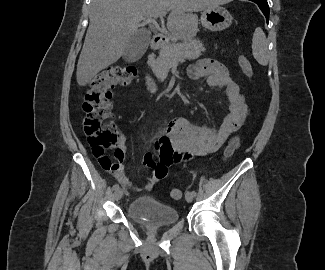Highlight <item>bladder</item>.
Masks as SVG:
<instances>
[{
    "label": "bladder",
    "mask_w": 325,
    "mask_h": 270,
    "mask_svg": "<svg viewBox=\"0 0 325 270\" xmlns=\"http://www.w3.org/2000/svg\"><path fill=\"white\" fill-rule=\"evenodd\" d=\"M128 217L147 227L170 226L178 222L179 212L173 206L141 196L134 199L126 208Z\"/></svg>",
    "instance_id": "obj_1"
}]
</instances>
